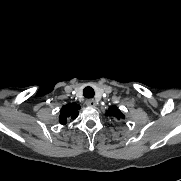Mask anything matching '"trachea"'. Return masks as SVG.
<instances>
[{
	"label": "trachea",
	"instance_id": "3493384b",
	"mask_svg": "<svg viewBox=\"0 0 181 181\" xmlns=\"http://www.w3.org/2000/svg\"><path fill=\"white\" fill-rule=\"evenodd\" d=\"M83 95L85 98H93L94 97V89L92 87H85L83 90Z\"/></svg>",
	"mask_w": 181,
	"mask_h": 181
}]
</instances>
